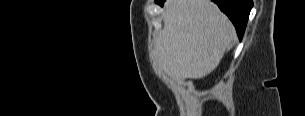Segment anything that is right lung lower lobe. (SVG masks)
Returning a JSON list of instances; mask_svg holds the SVG:
<instances>
[{
  "label": "right lung lower lobe",
  "mask_w": 305,
  "mask_h": 116,
  "mask_svg": "<svg viewBox=\"0 0 305 116\" xmlns=\"http://www.w3.org/2000/svg\"><path fill=\"white\" fill-rule=\"evenodd\" d=\"M165 0H156L157 3L163 4ZM216 3L232 21L236 28L237 35L241 40L246 28L248 17L253 7L252 0H212Z\"/></svg>",
  "instance_id": "1"
}]
</instances>
